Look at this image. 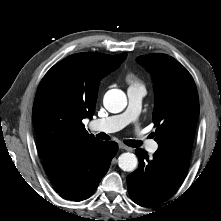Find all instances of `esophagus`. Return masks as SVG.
I'll list each match as a JSON object with an SVG mask.
<instances>
[{
	"label": "esophagus",
	"instance_id": "obj_1",
	"mask_svg": "<svg viewBox=\"0 0 221 221\" xmlns=\"http://www.w3.org/2000/svg\"><path fill=\"white\" fill-rule=\"evenodd\" d=\"M119 148L123 149V150H126V151H132L133 150L131 147H128L124 144H119Z\"/></svg>",
	"mask_w": 221,
	"mask_h": 221
}]
</instances>
